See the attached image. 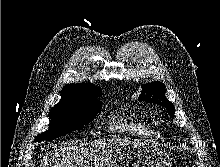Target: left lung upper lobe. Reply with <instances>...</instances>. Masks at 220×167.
<instances>
[{
  "mask_svg": "<svg viewBox=\"0 0 220 167\" xmlns=\"http://www.w3.org/2000/svg\"><path fill=\"white\" fill-rule=\"evenodd\" d=\"M165 85L159 81H154L151 83H146L142 86L141 95L139 96V101H145L147 103H155L165 107L171 118L174 115L173 104L165 97Z\"/></svg>",
  "mask_w": 220,
  "mask_h": 167,
  "instance_id": "1",
  "label": "left lung upper lobe"
}]
</instances>
